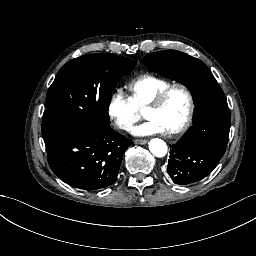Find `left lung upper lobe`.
Returning a JSON list of instances; mask_svg holds the SVG:
<instances>
[{
	"instance_id": "5c2ea615",
	"label": "left lung upper lobe",
	"mask_w": 256,
	"mask_h": 256,
	"mask_svg": "<svg viewBox=\"0 0 256 256\" xmlns=\"http://www.w3.org/2000/svg\"><path fill=\"white\" fill-rule=\"evenodd\" d=\"M151 71L187 86L195 103L194 127L175 145H170L167 172L207 176L223 156L229 137L230 111L216 79L199 59L176 50L145 56Z\"/></svg>"
}]
</instances>
